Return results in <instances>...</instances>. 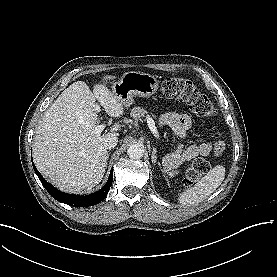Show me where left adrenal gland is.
I'll return each instance as SVG.
<instances>
[{"instance_id": "obj_1", "label": "left adrenal gland", "mask_w": 277, "mask_h": 277, "mask_svg": "<svg viewBox=\"0 0 277 277\" xmlns=\"http://www.w3.org/2000/svg\"><path fill=\"white\" fill-rule=\"evenodd\" d=\"M156 158H157V156H156V149L154 148L153 152H152V162L156 163Z\"/></svg>"}]
</instances>
